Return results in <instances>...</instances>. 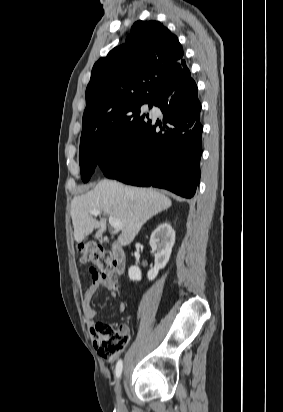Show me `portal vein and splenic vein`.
<instances>
[{
    "label": "portal vein and splenic vein",
    "mask_w": 283,
    "mask_h": 412,
    "mask_svg": "<svg viewBox=\"0 0 283 412\" xmlns=\"http://www.w3.org/2000/svg\"><path fill=\"white\" fill-rule=\"evenodd\" d=\"M88 212L91 215H94V216H98L101 213V211L99 209L89 210ZM109 223L115 230H122L123 229L122 223L118 219H116L112 216H109Z\"/></svg>",
    "instance_id": "obj_1"
}]
</instances>
